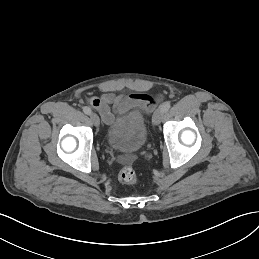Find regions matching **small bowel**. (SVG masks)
Returning <instances> with one entry per match:
<instances>
[{"mask_svg": "<svg viewBox=\"0 0 259 259\" xmlns=\"http://www.w3.org/2000/svg\"><path fill=\"white\" fill-rule=\"evenodd\" d=\"M89 104L98 111L106 124H111L114 114L111 107L119 115L125 114L133 108L139 107L150 113L154 109L153 99L143 93H133L127 96H118L110 91H105L100 97H88Z\"/></svg>", "mask_w": 259, "mask_h": 259, "instance_id": "1", "label": "small bowel"}]
</instances>
